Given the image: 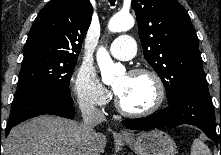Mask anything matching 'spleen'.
Listing matches in <instances>:
<instances>
[{"label":"spleen","instance_id":"obj_1","mask_svg":"<svg viewBox=\"0 0 221 155\" xmlns=\"http://www.w3.org/2000/svg\"><path fill=\"white\" fill-rule=\"evenodd\" d=\"M190 155H211V152L204 142L195 139L191 146Z\"/></svg>","mask_w":221,"mask_h":155}]
</instances>
